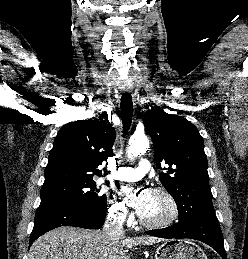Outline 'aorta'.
<instances>
[{"label": "aorta", "instance_id": "aorta-1", "mask_svg": "<svg viewBox=\"0 0 248 259\" xmlns=\"http://www.w3.org/2000/svg\"><path fill=\"white\" fill-rule=\"evenodd\" d=\"M149 148V140L146 136H132L127 150L128 158L132 159L144 154Z\"/></svg>", "mask_w": 248, "mask_h": 259}]
</instances>
